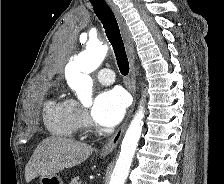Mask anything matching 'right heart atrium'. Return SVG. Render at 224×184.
<instances>
[{
    "label": "right heart atrium",
    "instance_id": "1",
    "mask_svg": "<svg viewBox=\"0 0 224 184\" xmlns=\"http://www.w3.org/2000/svg\"><path fill=\"white\" fill-rule=\"evenodd\" d=\"M74 108H75V115H76V120L78 124V128H85L88 126V115L86 110L79 105L77 102L73 101Z\"/></svg>",
    "mask_w": 224,
    "mask_h": 184
}]
</instances>
